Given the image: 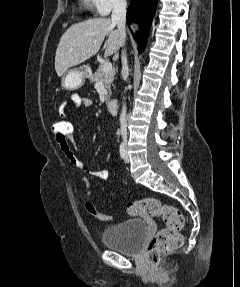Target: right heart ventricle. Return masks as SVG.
<instances>
[{"mask_svg":"<svg viewBox=\"0 0 240 287\" xmlns=\"http://www.w3.org/2000/svg\"><path fill=\"white\" fill-rule=\"evenodd\" d=\"M83 6H85L87 9L93 8L92 0H81Z\"/></svg>","mask_w":240,"mask_h":287,"instance_id":"right-heart-ventricle-1","label":"right heart ventricle"}]
</instances>
